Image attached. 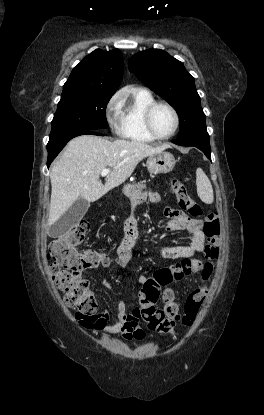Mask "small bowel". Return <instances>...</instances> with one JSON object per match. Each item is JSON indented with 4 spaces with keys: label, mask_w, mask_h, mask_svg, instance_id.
I'll return each instance as SVG.
<instances>
[{
    "label": "small bowel",
    "mask_w": 264,
    "mask_h": 415,
    "mask_svg": "<svg viewBox=\"0 0 264 415\" xmlns=\"http://www.w3.org/2000/svg\"><path fill=\"white\" fill-rule=\"evenodd\" d=\"M149 198L154 202H159V197L154 193H150ZM163 213L170 219L166 225V229L169 232L186 231L190 235L188 244L173 247H157V251L164 258L177 262L191 258L203 251L205 235L202 221L190 218L172 207H165ZM135 221L137 222L135 217L128 219L125 237L117 247L115 265L118 269L127 267L137 252L135 236L138 223L135 224ZM149 279L150 277L147 275H141L139 283L144 284ZM107 288L110 289L109 284H107ZM165 291L172 290L166 289ZM139 312L140 309L137 308L132 313H128L126 304L123 301H119L117 304V318L114 322L107 324L109 315L106 312H102L95 319V329L109 334H121L129 340L134 338L140 339L145 336V331L139 323Z\"/></svg>",
    "instance_id": "obj_1"
}]
</instances>
